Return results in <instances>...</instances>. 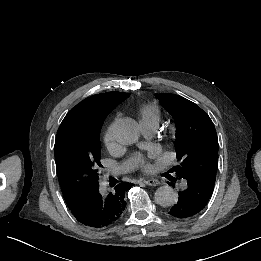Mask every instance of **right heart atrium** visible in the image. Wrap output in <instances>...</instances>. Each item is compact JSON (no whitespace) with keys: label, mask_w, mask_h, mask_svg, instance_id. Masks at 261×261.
<instances>
[{"label":"right heart atrium","mask_w":261,"mask_h":261,"mask_svg":"<svg viewBox=\"0 0 261 261\" xmlns=\"http://www.w3.org/2000/svg\"><path fill=\"white\" fill-rule=\"evenodd\" d=\"M115 119L110 123L104 134V143L108 150L113 151L115 148V138L113 136V127L115 125Z\"/></svg>","instance_id":"d8ad5b80"}]
</instances>
